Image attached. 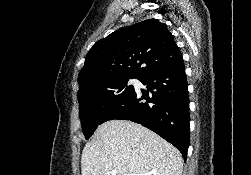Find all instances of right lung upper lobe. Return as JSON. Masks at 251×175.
<instances>
[{
	"label": "right lung upper lobe",
	"instance_id": "cb5924a9",
	"mask_svg": "<svg viewBox=\"0 0 251 175\" xmlns=\"http://www.w3.org/2000/svg\"><path fill=\"white\" fill-rule=\"evenodd\" d=\"M182 60L167 25L157 19L144 20L122 27L94 44L79 73V88L105 84L123 76L142 78Z\"/></svg>",
	"mask_w": 251,
	"mask_h": 175
}]
</instances>
